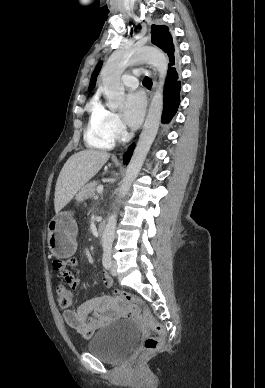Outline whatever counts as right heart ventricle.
I'll return each instance as SVG.
<instances>
[{
  "label": "right heart ventricle",
  "instance_id": "right-heart-ventricle-1",
  "mask_svg": "<svg viewBox=\"0 0 265 388\" xmlns=\"http://www.w3.org/2000/svg\"><path fill=\"white\" fill-rule=\"evenodd\" d=\"M104 110L98 97H95L90 104V120L85 140L94 147L111 149L115 144V138L104 128Z\"/></svg>",
  "mask_w": 265,
  "mask_h": 388
}]
</instances>
